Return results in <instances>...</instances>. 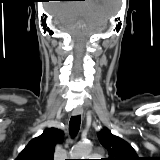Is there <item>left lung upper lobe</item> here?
<instances>
[{
    "label": "left lung upper lobe",
    "instance_id": "left-lung-upper-lobe-1",
    "mask_svg": "<svg viewBox=\"0 0 160 160\" xmlns=\"http://www.w3.org/2000/svg\"><path fill=\"white\" fill-rule=\"evenodd\" d=\"M98 139L109 155L103 160H141L128 142L113 135L108 128L98 133Z\"/></svg>",
    "mask_w": 160,
    "mask_h": 160
}]
</instances>
